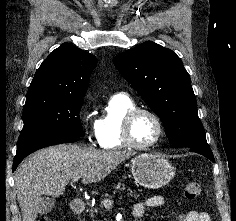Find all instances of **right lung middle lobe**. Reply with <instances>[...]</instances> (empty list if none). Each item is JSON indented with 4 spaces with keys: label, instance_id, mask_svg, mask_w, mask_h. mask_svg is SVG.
Masks as SVG:
<instances>
[{
    "label": "right lung middle lobe",
    "instance_id": "dd1d6c3e",
    "mask_svg": "<svg viewBox=\"0 0 236 221\" xmlns=\"http://www.w3.org/2000/svg\"><path fill=\"white\" fill-rule=\"evenodd\" d=\"M82 97L28 95L24 106V126L18 142L43 135L83 137L79 116Z\"/></svg>",
    "mask_w": 236,
    "mask_h": 221
}]
</instances>
